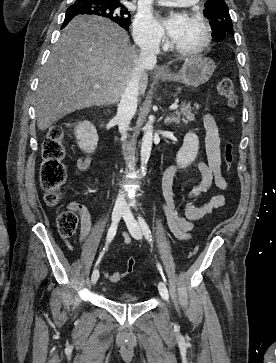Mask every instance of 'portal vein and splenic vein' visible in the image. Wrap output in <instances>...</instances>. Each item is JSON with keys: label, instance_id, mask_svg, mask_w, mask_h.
Here are the masks:
<instances>
[{"label": "portal vein and splenic vein", "instance_id": "obj_1", "mask_svg": "<svg viewBox=\"0 0 276 363\" xmlns=\"http://www.w3.org/2000/svg\"><path fill=\"white\" fill-rule=\"evenodd\" d=\"M92 87H93L94 89H99V88H101V85H99V84H94ZM169 108H170V110H176V109L178 108V104H177V103H174V104H172Z\"/></svg>", "mask_w": 276, "mask_h": 363}]
</instances>
